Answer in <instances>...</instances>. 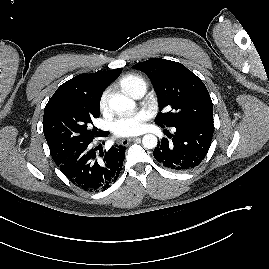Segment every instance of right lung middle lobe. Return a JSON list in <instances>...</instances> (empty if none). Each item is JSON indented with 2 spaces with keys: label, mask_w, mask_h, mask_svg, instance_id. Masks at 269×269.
Instances as JSON below:
<instances>
[{
  "label": "right lung middle lobe",
  "mask_w": 269,
  "mask_h": 269,
  "mask_svg": "<svg viewBox=\"0 0 269 269\" xmlns=\"http://www.w3.org/2000/svg\"><path fill=\"white\" fill-rule=\"evenodd\" d=\"M100 116L97 105H54L44 110L43 132L53 160L75 146L93 140V118Z\"/></svg>",
  "instance_id": "right-lung-middle-lobe-1"
}]
</instances>
